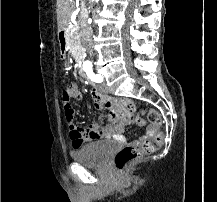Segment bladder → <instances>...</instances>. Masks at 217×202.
<instances>
[{"label": "bladder", "instance_id": "bladder-1", "mask_svg": "<svg viewBox=\"0 0 217 202\" xmlns=\"http://www.w3.org/2000/svg\"><path fill=\"white\" fill-rule=\"evenodd\" d=\"M116 149V142L105 140L83 146L72 153V158L83 166H100Z\"/></svg>", "mask_w": 217, "mask_h": 202}]
</instances>
